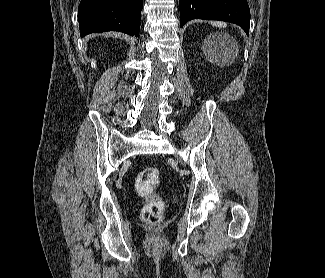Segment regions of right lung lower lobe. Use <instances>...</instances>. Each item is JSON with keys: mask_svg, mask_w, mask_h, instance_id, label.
Instances as JSON below:
<instances>
[{"mask_svg": "<svg viewBox=\"0 0 325 278\" xmlns=\"http://www.w3.org/2000/svg\"><path fill=\"white\" fill-rule=\"evenodd\" d=\"M142 0H81L78 21L81 36L120 31L139 36Z\"/></svg>", "mask_w": 325, "mask_h": 278, "instance_id": "1", "label": "right lung lower lobe"}]
</instances>
